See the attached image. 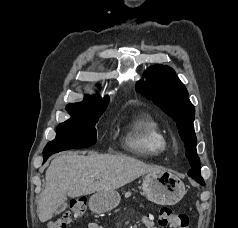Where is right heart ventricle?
I'll return each instance as SVG.
<instances>
[{
  "mask_svg": "<svg viewBox=\"0 0 238 228\" xmlns=\"http://www.w3.org/2000/svg\"><path fill=\"white\" fill-rule=\"evenodd\" d=\"M124 145L137 155L156 157L165 151L167 141L159 121L139 113L128 122Z\"/></svg>",
  "mask_w": 238,
  "mask_h": 228,
  "instance_id": "right-heart-ventricle-1",
  "label": "right heart ventricle"
}]
</instances>
